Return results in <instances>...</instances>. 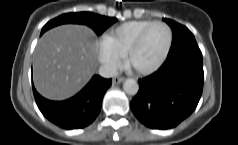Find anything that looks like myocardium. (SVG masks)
Returning <instances> with one entry per match:
<instances>
[{
	"mask_svg": "<svg viewBox=\"0 0 238 145\" xmlns=\"http://www.w3.org/2000/svg\"><path fill=\"white\" fill-rule=\"evenodd\" d=\"M155 25H162L164 26L167 31H168V41H167V45L165 47V50L163 51L162 55L160 56V58L151 66L145 67V68H134L131 65V58L133 56V54L140 48L147 32ZM172 42H173V32L171 27L163 22V21H153L151 22L149 25H147L136 37V39L134 40V42L131 44V46L128 48L125 56H124V60H125V65L128 69L132 70L133 72L140 74V75H148L151 74L153 72H155L156 70H158L163 63L166 61L171 47H172Z\"/></svg>",
	"mask_w": 238,
	"mask_h": 145,
	"instance_id": "myocardium-1",
	"label": "myocardium"
}]
</instances>
